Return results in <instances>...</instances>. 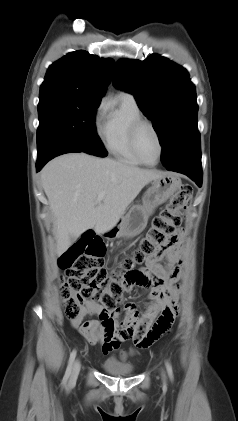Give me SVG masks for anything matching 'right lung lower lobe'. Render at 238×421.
I'll use <instances>...</instances> for the list:
<instances>
[{"label": "right lung lower lobe", "mask_w": 238, "mask_h": 421, "mask_svg": "<svg viewBox=\"0 0 238 421\" xmlns=\"http://www.w3.org/2000/svg\"><path fill=\"white\" fill-rule=\"evenodd\" d=\"M37 163L36 169L37 172L52 158L70 152H84L82 149L78 148L74 144L61 139V138H51L44 145L37 149Z\"/></svg>", "instance_id": "1"}]
</instances>
